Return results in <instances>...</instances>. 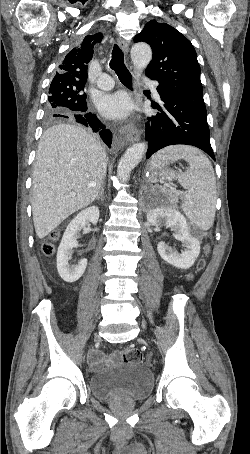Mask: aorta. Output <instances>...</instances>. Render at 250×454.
<instances>
[{"instance_id":"aorta-1","label":"aorta","mask_w":250,"mask_h":454,"mask_svg":"<svg viewBox=\"0 0 250 454\" xmlns=\"http://www.w3.org/2000/svg\"><path fill=\"white\" fill-rule=\"evenodd\" d=\"M131 59L136 70L135 84L139 86V76L145 70L152 59V50L146 43H136L131 48ZM141 102V99H137ZM147 150V144L144 142L136 143L129 147L121 157L117 166V175L123 182L130 177L131 171L141 161Z\"/></svg>"}]
</instances>
